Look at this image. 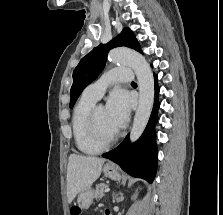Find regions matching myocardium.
Instances as JSON below:
<instances>
[{
    "label": "myocardium",
    "mask_w": 223,
    "mask_h": 215,
    "mask_svg": "<svg viewBox=\"0 0 223 215\" xmlns=\"http://www.w3.org/2000/svg\"><path fill=\"white\" fill-rule=\"evenodd\" d=\"M99 106H96L93 108L91 115H90V121H89V135L90 140L93 143L95 147H97L100 151L107 150L112 148L117 144V142L120 139V133L117 131L114 138L108 142L104 141L101 137L98 121H97V111Z\"/></svg>",
    "instance_id": "myocardium-1"
}]
</instances>
